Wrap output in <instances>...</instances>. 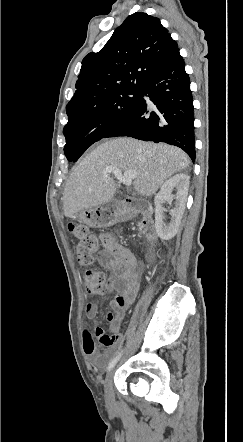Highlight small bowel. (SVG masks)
I'll return each instance as SVG.
<instances>
[{
  "label": "small bowel",
  "instance_id": "small-bowel-1",
  "mask_svg": "<svg viewBox=\"0 0 243 442\" xmlns=\"http://www.w3.org/2000/svg\"><path fill=\"white\" fill-rule=\"evenodd\" d=\"M99 240L103 249L98 254V262L112 270L113 275L109 279V285L112 290L117 292L110 302L113 312L109 311L105 315L106 322L114 334L109 335L101 326L95 327L94 337L98 346L104 349V351H100L90 330L84 328L83 349L85 354L92 358L93 365L98 369H103L113 354V347L121 340L117 331L125 318L127 309L137 296L141 272L135 255L128 248L118 243L111 234L100 233ZM84 313L87 320H94L98 313L97 305L88 302L85 305Z\"/></svg>",
  "mask_w": 243,
  "mask_h": 442
}]
</instances>
